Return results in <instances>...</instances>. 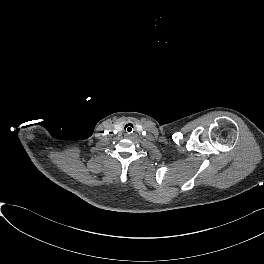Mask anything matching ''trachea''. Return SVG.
Returning a JSON list of instances; mask_svg holds the SVG:
<instances>
[{"mask_svg":"<svg viewBox=\"0 0 264 264\" xmlns=\"http://www.w3.org/2000/svg\"><path fill=\"white\" fill-rule=\"evenodd\" d=\"M124 131L125 133L127 134H132L134 132V125L132 123H127L125 126H124Z\"/></svg>","mask_w":264,"mask_h":264,"instance_id":"1","label":"trachea"}]
</instances>
